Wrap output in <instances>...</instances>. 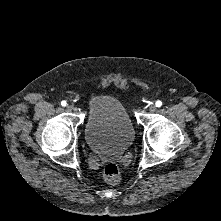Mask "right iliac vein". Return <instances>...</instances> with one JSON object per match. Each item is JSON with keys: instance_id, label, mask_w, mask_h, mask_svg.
<instances>
[{"instance_id": "1", "label": "right iliac vein", "mask_w": 221, "mask_h": 221, "mask_svg": "<svg viewBox=\"0 0 221 221\" xmlns=\"http://www.w3.org/2000/svg\"><path fill=\"white\" fill-rule=\"evenodd\" d=\"M66 109H67V111H72L73 106H72V105H67V106H66Z\"/></svg>"}]
</instances>
